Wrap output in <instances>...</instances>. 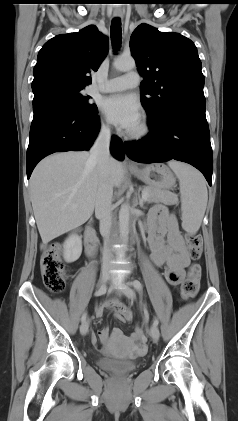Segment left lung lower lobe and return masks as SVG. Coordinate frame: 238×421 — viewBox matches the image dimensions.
Instances as JSON below:
<instances>
[{
    "label": "left lung lower lobe",
    "instance_id": "left-lung-lower-lobe-1",
    "mask_svg": "<svg viewBox=\"0 0 238 421\" xmlns=\"http://www.w3.org/2000/svg\"><path fill=\"white\" fill-rule=\"evenodd\" d=\"M205 98H190L167 108L142 140L124 146L127 155L140 163L186 162L200 170L211 186L213 154L205 115Z\"/></svg>",
    "mask_w": 238,
    "mask_h": 421
}]
</instances>
